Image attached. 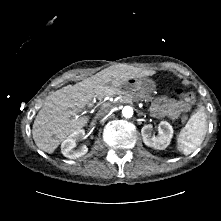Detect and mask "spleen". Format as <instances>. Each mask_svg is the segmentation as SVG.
Instances as JSON below:
<instances>
[{"label":"spleen","instance_id":"spleen-1","mask_svg":"<svg viewBox=\"0 0 221 221\" xmlns=\"http://www.w3.org/2000/svg\"><path fill=\"white\" fill-rule=\"evenodd\" d=\"M206 118L205 107L199 104L185 127L178 134L177 148L179 151L188 155L202 144L207 132Z\"/></svg>","mask_w":221,"mask_h":221}]
</instances>
